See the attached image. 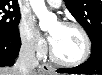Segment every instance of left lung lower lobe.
I'll use <instances>...</instances> for the list:
<instances>
[{"label":"left lung lower lobe","mask_w":102,"mask_h":75,"mask_svg":"<svg viewBox=\"0 0 102 75\" xmlns=\"http://www.w3.org/2000/svg\"><path fill=\"white\" fill-rule=\"evenodd\" d=\"M59 73L102 74V38L92 41L90 58L83 64L71 69H58Z\"/></svg>","instance_id":"1"}]
</instances>
